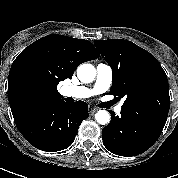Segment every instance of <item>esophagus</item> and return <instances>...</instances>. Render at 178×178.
<instances>
[{"instance_id": "1", "label": "esophagus", "mask_w": 178, "mask_h": 178, "mask_svg": "<svg viewBox=\"0 0 178 178\" xmlns=\"http://www.w3.org/2000/svg\"><path fill=\"white\" fill-rule=\"evenodd\" d=\"M97 110H98V108H96V107L91 108L90 115H93Z\"/></svg>"}]
</instances>
